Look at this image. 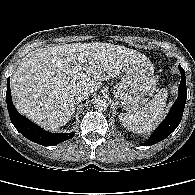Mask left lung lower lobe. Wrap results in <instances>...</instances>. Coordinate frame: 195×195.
I'll return each mask as SVG.
<instances>
[{
	"instance_id": "0a47b994",
	"label": "left lung lower lobe",
	"mask_w": 195,
	"mask_h": 195,
	"mask_svg": "<svg viewBox=\"0 0 195 195\" xmlns=\"http://www.w3.org/2000/svg\"><path fill=\"white\" fill-rule=\"evenodd\" d=\"M179 70L181 72L182 78L179 85L178 98L170 109V112L165 120L158 126L155 132L145 142L146 145H153L164 140L177 128V126L181 122L187 98V89L185 81V71L180 65Z\"/></svg>"
}]
</instances>
